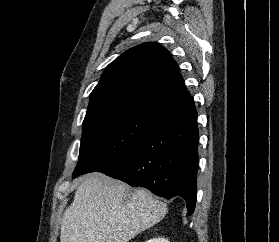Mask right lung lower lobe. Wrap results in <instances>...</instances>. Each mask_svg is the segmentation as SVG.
<instances>
[{
    "label": "right lung lower lobe",
    "mask_w": 279,
    "mask_h": 242,
    "mask_svg": "<svg viewBox=\"0 0 279 242\" xmlns=\"http://www.w3.org/2000/svg\"><path fill=\"white\" fill-rule=\"evenodd\" d=\"M99 172L170 199L182 197L187 216L197 196L198 127L194 101L162 112L152 133Z\"/></svg>",
    "instance_id": "98d812e1"
}]
</instances>
